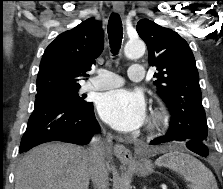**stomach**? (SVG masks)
<instances>
[{
	"mask_svg": "<svg viewBox=\"0 0 223 189\" xmlns=\"http://www.w3.org/2000/svg\"><path fill=\"white\" fill-rule=\"evenodd\" d=\"M134 168L140 176H146L152 172V164L148 160H143L142 162L135 164Z\"/></svg>",
	"mask_w": 223,
	"mask_h": 189,
	"instance_id": "1",
	"label": "stomach"
}]
</instances>
